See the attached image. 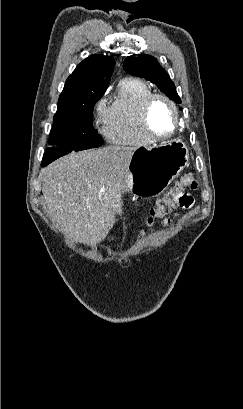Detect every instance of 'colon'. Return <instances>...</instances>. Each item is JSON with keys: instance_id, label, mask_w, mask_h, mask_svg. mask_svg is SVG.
<instances>
[{"instance_id": "1", "label": "colon", "mask_w": 243, "mask_h": 409, "mask_svg": "<svg viewBox=\"0 0 243 409\" xmlns=\"http://www.w3.org/2000/svg\"><path fill=\"white\" fill-rule=\"evenodd\" d=\"M197 181L192 174L182 176L176 186L163 197L159 198L150 209L147 224L153 225L155 220L161 219L179 207H186L191 203L187 190H195Z\"/></svg>"}]
</instances>
